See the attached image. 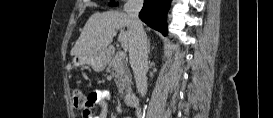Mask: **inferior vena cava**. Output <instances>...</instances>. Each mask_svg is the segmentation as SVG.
I'll use <instances>...</instances> for the list:
<instances>
[{
    "label": "inferior vena cava",
    "instance_id": "1",
    "mask_svg": "<svg viewBox=\"0 0 273 118\" xmlns=\"http://www.w3.org/2000/svg\"><path fill=\"white\" fill-rule=\"evenodd\" d=\"M142 6L143 0H128L124 10L130 18V65L134 72L137 90L141 96H144L147 92L148 49L147 36L138 16Z\"/></svg>",
    "mask_w": 273,
    "mask_h": 118
}]
</instances>
